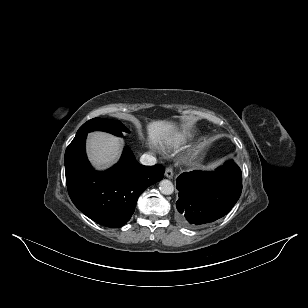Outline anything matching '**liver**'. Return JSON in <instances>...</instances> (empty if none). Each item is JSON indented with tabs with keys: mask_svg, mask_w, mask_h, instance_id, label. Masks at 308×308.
I'll list each match as a JSON object with an SVG mask.
<instances>
[{
	"mask_svg": "<svg viewBox=\"0 0 308 308\" xmlns=\"http://www.w3.org/2000/svg\"><path fill=\"white\" fill-rule=\"evenodd\" d=\"M146 129L149 147L162 144L179 145L183 141V134L175 124L168 121L149 122ZM87 154L96 169H107L114 165L120 157V139L105 132H92L87 139Z\"/></svg>",
	"mask_w": 308,
	"mask_h": 308,
	"instance_id": "6515ba94",
	"label": "liver"
}]
</instances>
